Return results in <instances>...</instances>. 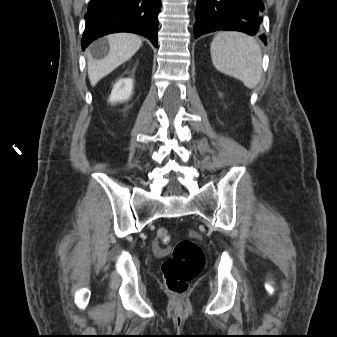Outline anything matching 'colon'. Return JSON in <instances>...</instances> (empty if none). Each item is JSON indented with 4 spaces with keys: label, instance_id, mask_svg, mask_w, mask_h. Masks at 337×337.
<instances>
[{
    "label": "colon",
    "instance_id": "colon-1",
    "mask_svg": "<svg viewBox=\"0 0 337 337\" xmlns=\"http://www.w3.org/2000/svg\"><path fill=\"white\" fill-rule=\"evenodd\" d=\"M171 234L167 229H159L154 248L164 252L169 246ZM205 264V256L199 245L192 239H182L173 247L172 254L162 265L165 285L169 292L183 294L189 284L199 275Z\"/></svg>",
    "mask_w": 337,
    "mask_h": 337
}]
</instances>
